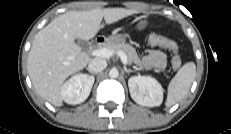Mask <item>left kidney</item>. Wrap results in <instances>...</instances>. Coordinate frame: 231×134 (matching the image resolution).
Masks as SVG:
<instances>
[{
    "mask_svg": "<svg viewBox=\"0 0 231 134\" xmlns=\"http://www.w3.org/2000/svg\"><path fill=\"white\" fill-rule=\"evenodd\" d=\"M131 98L142 106H159L163 102L161 84L150 76H132L128 80Z\"/></svg>",
    "mask_w": 231,
    "mask_h": 134,
    "instance_id": "5707ae66",
    "label": "left kidney"
}]
</instances>
